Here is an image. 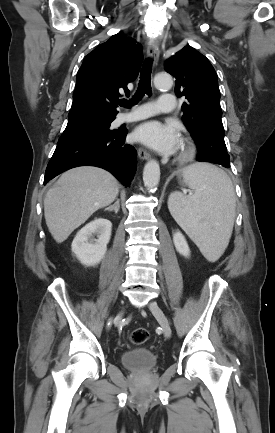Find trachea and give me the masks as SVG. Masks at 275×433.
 Wrapping results in <instances>:
<instances>
[{"instance_id":"3493384b","label":"trachea","mask_w":275,"mask_h":433,"mask_svg":"<svg viewBox=\"0 0 275 433\" xmlns=\"http://www.w3.org/2000/svg\"><path fill=\"white\" fill-rule=\"evenodd\" d=\"M151 72H152V61L147 59L142 66L140 73V80L138 84V89L136 94L133 96L132 100L127 103L125 100L119 101L120 106L130 107L131 105L136 104L140 99L145 95L151 94Z\"/></svg>"}]
</instances>
